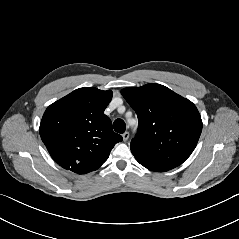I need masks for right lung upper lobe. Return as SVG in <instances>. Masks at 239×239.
<instances>
[{
  "label": "right lung upper lobe",
  "instance_id": "cb5924a9",
  "mask_svg": "<svg viewBox=\"0 0 239 239\" xmlns=\"http://www.w3.org/2000/svg\"><path fill=\"white\" fill-rule=\"evenodd\" d=\"M112 91L79 88L46 109L39 128L51 157L77 174L97 170L122 136L112 129L104 110Z\"/></svg>",
  "mask_w": 239,
  "mask_h": 239
}]
</instances>
